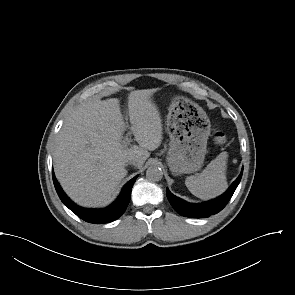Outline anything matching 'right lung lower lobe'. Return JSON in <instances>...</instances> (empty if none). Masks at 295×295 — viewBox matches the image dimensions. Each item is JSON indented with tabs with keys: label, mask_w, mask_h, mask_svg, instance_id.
Returning a JSON list of instances; mask_svg holds the SVG:
<instances>
[{
	"label": "right lung lower lobe",
	"mask_w": 295,
	"mask_h": 295,
	"mask_svg": "<svg viewBox=\"0 0 295 295\" xmlns=\"http://www.w3.org/2000/svg\"><path fill=\"white\" fill-rule=\"evenodd\" d=\"M52 174L55 189L58 193L59 198L65 204V206H67L79 218L83 219L86 222L95 224L112 222L118 219L124 213L131 199V190L137 178V176H135L125 184L116 201L110 206L104 209H87L74 204L62 191V188L58 184L53 172Z\"/></svg>",
	"instance_id": "right-lung-lower-lobe-1"
}]
</instances>
